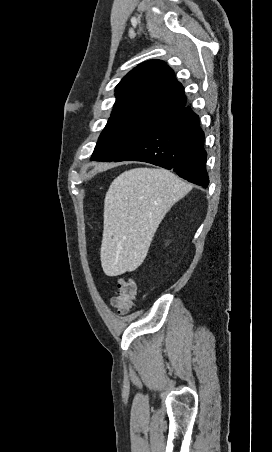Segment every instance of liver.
Here are the masks:
<instances>
[{"mask_svg":"<svg viewBox=\"0 0 272 452\" xmlns=\"http://www.w3.org/2000/svg\"><path fill=\"white\" fill-rule=\"evenodd\" d=\"M191 189L162 168H134L115 178L104 200L100 251L104 273L118 276L136 270L166 213Z\"/></svg>","mask_w":272,"mask_h":452,"instance_id":"1","label":"liver"}]
</instances>
